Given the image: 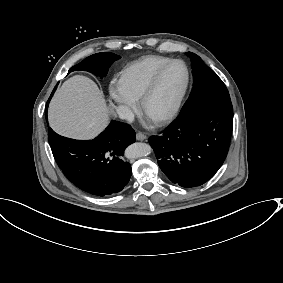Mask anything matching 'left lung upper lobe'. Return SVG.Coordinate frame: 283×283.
<instances>
[{
	"mask_svg": "<svg viewBox=\"0 0 283 283\" xmlns=\"http://www.w3.org/2000/svg\"><path fill=\"white\" fill-rule=\"evenodd\" d=\"M192 62L193 88L182 107L180 114L188 112L198 105L210 100L230 99L223 81L213 72L199 56L187 53Z\"/></svg>",
	"mask_w": 283,
	"mask_h": 283,
	"instance_id": "left-lung-upper-lobe-1",
	"label": "left lung upper lobe"
}]
</instances>
